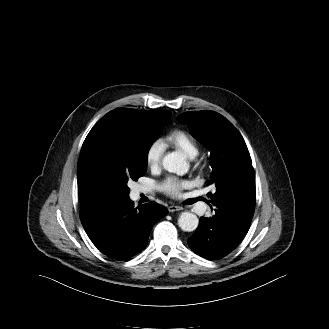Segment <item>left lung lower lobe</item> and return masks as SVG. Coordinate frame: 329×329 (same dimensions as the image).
Segmentation results:
<instances>
[{
	"mask_svg": "<svg viewBox=\"0 0 329 329\" xmlns=\"http://www.w3.org/2000/svg\"><path fill=\"white\" fill-rule=\"evenodd\" d=\"M255 175L236 196L215 202V214L200 218L195 233L188 238L189 247L208 259H219L234 250L245 237L255 209Z\"/></svg>",
	"mask_w": 329,
	"mask_h": 329,
	"instance_id": "0a47b994",
	"label": "left lung lower lobe"
}]
</instances>
